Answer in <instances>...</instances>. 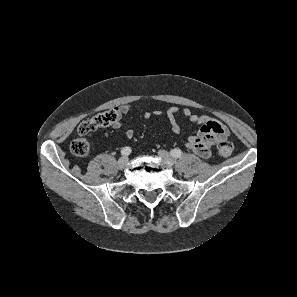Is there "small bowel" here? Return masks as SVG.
I'll return each mask as SVG.
<instances>
[{
	"instance_id": "1",
	"label": "small bowel",
	"mask_w": 297,
	"mask_h": 297,
	"mask_svg": "<svg viewBox=\"0 0 297 297\" xmlns=\"http://www.w3.org/2000/svg\"><path fill=\"white\" fill-rule=\"evenodd\" d=\"M117 111L120 117L121 115L129 113L131 111V106L127 104L122 105L117 108ZM177 113L178 108L175 106L168 108L166 111V116L174 133H179L181 130L176 118ZM182 113L189 121L200 125L198 133L188 138L186 143L187 147L198 156L209 158L211 156V148L214 144L227 136V129L218 121L211 119V117L194 114L188 108L184 109ZM154 115H160V111L146 112L144 117L150 119ZM112 126L115 129L121 128L119 119L112 124ZM124 134L127 139H132L134 137V131L132 129H127Z\"/></svg>"
}]
</instances>
